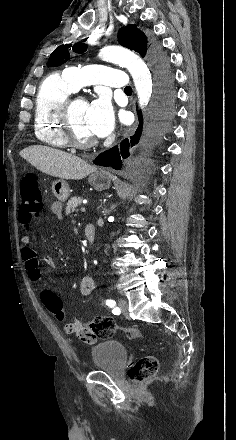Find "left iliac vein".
<instances>
[{"label": "left iliac vein", "instance_id": "left-iliac-vein-1", "mask_svg": "<svg viewBox=\"0 0 236 440\" xmlns=\"http://www.w3.org/2000/svg\"><path fill=\"white\" fill-rule=\"evenodd\" d=\"M118 305H119L120 311L123 314H126L127 311H128V303H127V301L125 299H120Z\"/></svg>", "mask_w": 236, "mask_h": 440}]
</instances>
